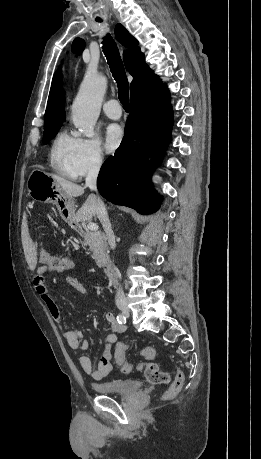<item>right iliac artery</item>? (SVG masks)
Masks as SVG:
<instances>
[{
    "label": "right iliac artery",
    "mask_w": 261,
    "mask_h": 459,
    "mask_svg": "<svg viewBox=\"0 0 261 459\" xmlns=\"http://www.w3.org/2000/svg\"><path fill=\"white\" fill-rule=\"evenodd\" d=\"M117 321L120 323V324H125L126 323V317L124 314H119L117 316Z\"/></svg>",
    "instance_id": "obj_1"
}]
</instances>
